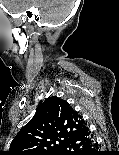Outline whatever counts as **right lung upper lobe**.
Returning a JSON list of instances; mask_svg holds the SVG:
<instances>
[{
    "mask_svg": "<svg viewBox=\"0 0 119 155\" xmlns=\"http://www.w3.org/2000/svg\"><path fill=\"white\" fill-rule=\"evenodd\" d=\"M85 128L82 117L65 100L48 97L17 133L7 155H57Z\"/></svg>",
    "mask_w": 119,
    "mask_h": 155,
    "instance_id": "1",
    "label": "right lung upper lobe"
}]
</instances>
